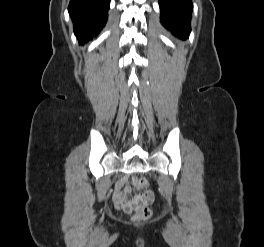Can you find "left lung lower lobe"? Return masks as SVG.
I'll return each mask as SVG.
<instances>
[{
  "instance_id": "1",
  "label": "left lung lower lobe",
  "mask_w": 264,
  "mask_h": 247,
  "mask_svg": "<svg viewBox=\"0 0 264 247\" xmlns=\"http://www.w3.org/2000/svg\"><path fill=\"white\" fill-rule=\"evenodd\" d=\"M161 23L176 37L185 40L191 31L193 5L190 0H159Z\"/></svg>"
}]
</instances>
